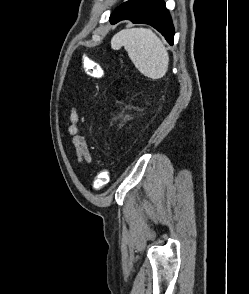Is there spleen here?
<instances>
[{
	"label": "spleen",
	"instance_id": "obj_1",
	"mask_svg": "<svg viewBox=\"0 0 249 294\" xmlns=\"http://www.w3.org/2000/svg\"><path fill=\"white\" fill-rule=\"evenodd\" d=\"M124 47L135 67L151 79L162 78L169 64L167 49L160 38L150 29H123L111 40V47L119 50Z\"/></svg>",
	"mask_w": 249,
	"mask_h": 294
}]
</instances>
